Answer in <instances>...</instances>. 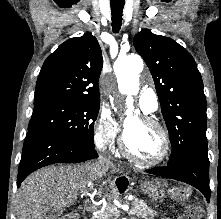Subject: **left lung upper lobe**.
Returning <instances> with one entry per match:
<instances>
[{
    "instance_id": "obj_1",
    "label": "left lung upper lobe",
    "mask_w": 221,
    "mask_h": 219,
    "mask_svg": "<svg viewBox=\"0 0 221 219\" xmlns=\"http://www.w3.org/2000/svg\"><path fill=\"white\" fill-rule=\"evenodd\" d=\"M134 46L156 86L172 145L169 163H178L193 149H207L206 97L191 54L173 39L149 29L136 34Z\"/></svg>"
}]
</instances>
